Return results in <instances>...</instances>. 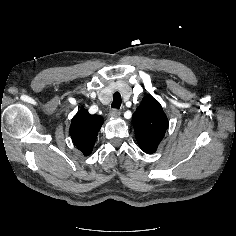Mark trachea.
I'll use <instances>...</instances> for the list:
<instances>
[{
    "label": "trachea",
    "mask_w": 236,
    "mask_h": 236,
    "mask_svg": "<svg viewBox=\"0 0 236 236\" xmlns=\"http://www.w3.org/2000/svg\"><path fill=\"white\" fill-rule=\"evenodd\" d=\"M121 102H122V101H121V95H120V93L115 92L114 95H113V102H112V104H111V107L118 109V108H120V106H121Z\"/></svg>",
    "instance_id": "trachea-1"
}]
</instances>
